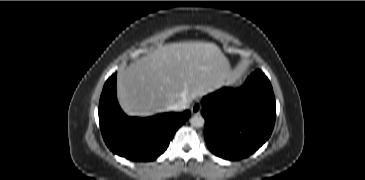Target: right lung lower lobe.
<instances>
[{
	"instance_id": "1",
	"label": "right lung lower lobe",
	"mask_w": 365,
	"mask_h": 180,
	"mask_svg": "<svg viewBox=\"0 0 365 180\" xmlns=\"http://www.w3.org/2000/svg\"><path fill=\"white\" fill-rule=\"evenodd\" d=\"M189 116L188 110L149 118L126 116L116 98V74L106 81L99 102V123L106 145L131 161L156 159Z\"/></svg>"
}]
</instances>
